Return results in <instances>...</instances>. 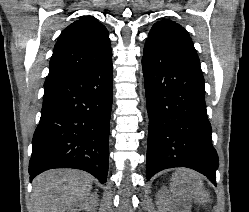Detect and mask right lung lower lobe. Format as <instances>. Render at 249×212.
Returning a JSON list of instances; mask_svg holds the SVG:
<instances>
[{
  "instance_id": "obj_1",
  "label": "right lung lower lobe",
  "mask_w": 249,
  "mask_h": 212,
  "mask_svg": "<svg viewBox=\"0 0 249 212\" xmlns=\"http://www.w3.org/2000/svg\"><path fill=\"white\" fill-rule=\"evenodd\" d=\"M112 72L108 58L87 72L44 85L41 119L32 141L31 179L52 168H75L106 182Z\"/></svg>"
}]
</instances>
